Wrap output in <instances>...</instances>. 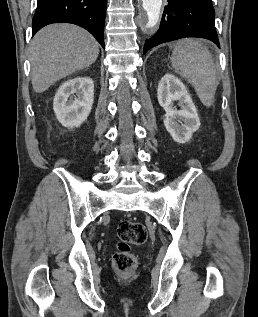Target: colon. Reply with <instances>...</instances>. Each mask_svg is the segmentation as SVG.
Listing matches in <instances>:
<instances>
[{
	"label": "colon",
	"instance_id": "5ec220e1",
	"mask_svg": "<svg viewBox=\"0 0 258 317\" xmlns=\"http://www.w3.org/2000/svg\"><path fill=\"white\" fill-rule=\"evenodd\" d=\"M117 235L119 242L111 264L116 272L130 274L137 267V259L131 250V246L143 244L147 239V232L143 224L124 220L118 224Z\"/></svg>",
	"mask_w": 258,
	"mask_h": 317
}]
</instances>
